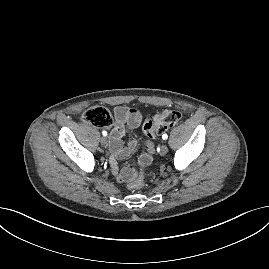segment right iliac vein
Instances as JSON below:
<instances>
[{"instance_id":"63e3f726","label":"right iliac vein","mask_w":269,"mask_h":269,"mask_svg":"<svg viewBox=\"0 0 269 269\" xmlns=\"http://www.w3.org/2000/svg\"><path fill=\"white\" fill-rule=\"evenodd\" d=\"M100 142H101V145L105 146V145L107 144V142H108L107 137H102V138L100 139Z\"/></svg>"}]
</instances>
